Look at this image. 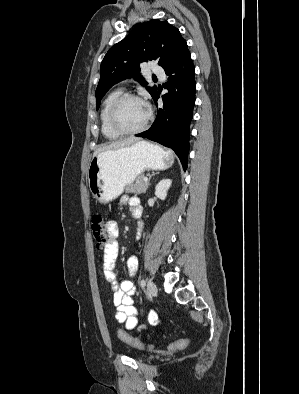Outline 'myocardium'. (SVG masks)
I'll return each mask as SVG.
<instances>
[{
	"instance_id": "obj_1",
	"label": "myocardium",
	"mask_w": 299,
	"mask_h": 394,
	"mask_svg": "<svg viewBox=\"0 0 299 394\" xmlns=\"http://www.w3.org/2000/svg\"><path fill=\"white\" fill-rule=\"evenodd\" d=\"M126 100H138V101L144 103L147 107V116H146L145 121L139 127L135 128V129H131V130L123 129L117 123L118 108ZM151 119H152V112H151L149 106L147 105V103L140 96H138L136 94H132V93H123V94L119 95L117 98H115V100L112 102V104L109 108V112H108L109 125L119 135H134V134L140 133L147 128Z\"/></svg>"
}]
</instances>
